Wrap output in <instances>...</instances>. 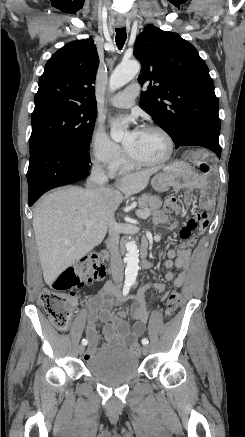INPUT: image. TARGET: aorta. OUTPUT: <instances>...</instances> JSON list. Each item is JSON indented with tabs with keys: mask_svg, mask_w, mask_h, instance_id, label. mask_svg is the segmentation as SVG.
<instances>
[{
	"mask_svg": "<svg viewBox=\"0 0 245 437\" xmlns=\"http://www.w3.org/2000/svg\"><path fill=\"white\" fill-rule=\"evenodd\" d=\"M140 71V65L137 61H129L122 63L112 72L109 79V89L117 90L131 81ZM111 138L114 141H120L125 134L124 128L114 127L111 130ZM126 255L124 262L126 263L125 280L126 282H135L138 274L139 254L135 241L130 239L126 244Z\"/></svg>",
	"mask_w": 245,
	"mask_h": 437,
	"instance_id": "1",
	"label": "aorta"
}]
</instances>
